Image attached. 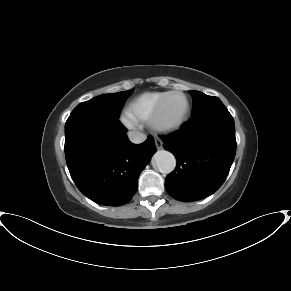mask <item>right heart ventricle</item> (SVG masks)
I'll return each mask as SVG.
<instances>
[{
    "label": "right heart ventricle",
    "instance_id": "right-heart-ventricle-1",
    "mask_svg": "<svg viewBox=\"0 0 291 291\" xmlns=\"http://www.w3.org/2000/svg\"><path fill=\"white\" fill-rule=\"evenodd\" d=\"M169 92H145L131 98L126 105L127 115L134 122L149 121L160 100Z\"/></svg>",
    "mask_w": 291,
    "mask_h": 291
}]
</instances>
